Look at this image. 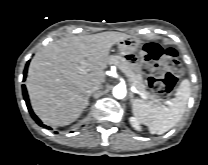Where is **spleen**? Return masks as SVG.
Masks as SVG:
<instances>
[{
	"instance_id": "3e777b00",
	"label": "spleen",
	"mask_w": 208,
	"mask_h": 165,
	"mask_svg": "<svg viewBox=\"0 0 208 165\" xmlns=\"http://www.w3.org/2000/svg\"><path fill=\"white\" fill-rule=\"evenodd\" d=\"M191 95L190 82L185 79L168 106L136 99L132 103L134 116L148 126L152 134H163L173 128L182 118Z\"/></svg>"
}]
</instances>
